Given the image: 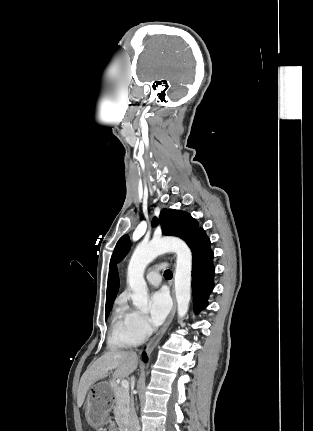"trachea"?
<instances>
[{
	"instance_id": "1",
	"label": "trachea",
	"mask_w": 313,
	"mask_h": 431,
	"mask_svg": "<svg viewBox=\"0 0 313 431\" xmlns=\"http://www.w3.org/2000/svg\"><path fill=\"white\" fill-rule=\"evenodd\" d=\"M164 277L167 279L172 278V272L170 270H166L164 272Z\"/></svg>"
}]
</instances>
